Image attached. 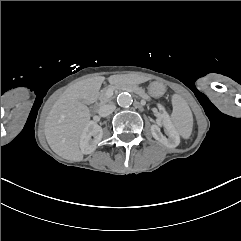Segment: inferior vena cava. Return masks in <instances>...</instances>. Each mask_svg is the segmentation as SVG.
I'll use <instances>...</instances> for the list:
<instances>
[{"label": "inferior vena cava", "mask_w": 241, "mask_h": 241, "mask_svg": "<svg viewBox=\"0 0 241 241\" xmlns=\"http://www.w3.org/2000/svg\"><path fill=\"white\" fill-rule=\"evenodd\" d=\"M115 109H116L115 105L105 104V105H102L101 107H99L98 114L101 117H106V116L110 115Z\"/></svg>", "instance_id": "1"}]
</instances>
